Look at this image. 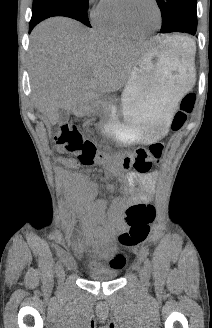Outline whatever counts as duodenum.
<instances>
[{"label":"duodenum","instance_id":"obj_1","mask_svg":"<svg viewBox=\"0 0 212 328\" xmlns=\"http://www.w3.org/2000/svg\"><path fill=\"white\" fill-rule=\"evenodd\" d=\"M92 99V95L90 93L83 94L74 105V112L81 113L85 105Z\"/></svg>","mask_w":212,"mask_h":328}]
</instances>
